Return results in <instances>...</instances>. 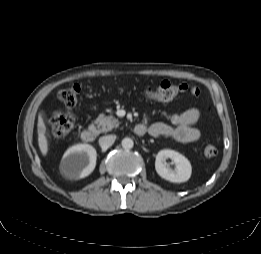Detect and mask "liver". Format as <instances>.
<instances>
[{"mask_svg": "<svg viewBox=\"0 0 261 254\" xmlns=\"http://www.w3.org/2000/svg\"><path fill=\"white\" fill-rule=\"evenodd\" d=\"M37 127H38V145L41 153L45 156L48 152V142L45 136L46 127L42 115H39L38 117Z\"/></svg>", "mask_w": 261, "mask_h": 254, "instance_id": "1", "label": "liver"}]
</instances>
